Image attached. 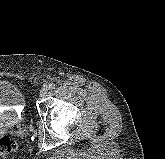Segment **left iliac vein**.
<instances>
[{
  "label": "left iliac vein",
  "mask_w": 165,
  "mask_h": 159,
  "mask_svg": "<svg viewBox=\"0 0 165 159\" xmlns=\"http://www.w3.org/2000/svg\"><path fill=\"white\" fill-rule=\"evenodd\" d=\"M48 90V86H43L39 93L40 98H45L47 96Z\"/></svg>",
  "instance_id": "1"
}]
</instances>
